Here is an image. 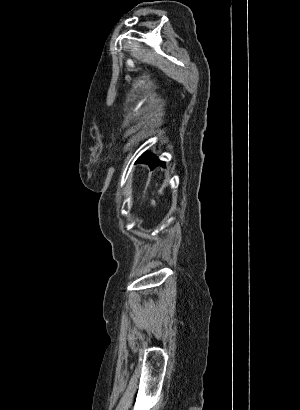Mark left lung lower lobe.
<instances>
[{
	"label": "left lung lower lobe",
	"instance_id": "left-lung-lower-lobe-1",
	"mask_svg": "<svg viewBox=\"0 0 300 410\" xmlns=\"http://www.w3.org/2000/svg\"><path fill=\"white\" fill-rule=\"evenodd\" d=\"M136 163H147L151 169H154L158 165H165V162L159 161L156 157L149 153H144L141 157H139Z\"/></svg>",
	"mask_w": 300,
	"mask_h": 410
}]
</instances>
